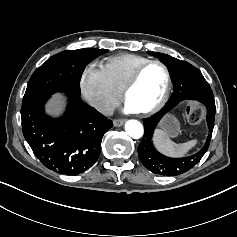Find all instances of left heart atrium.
Listing matches in <instances>:
<instances>
[{
	"mask_svg": "<svg viewBox=\"0 0 237 237\" xmlns=\"http://www.w3.org/2000/svg\"><path fill=\"white\" fill-rule=\"evenodd\" d=\"M124 110L127 113H135L136 112L128 103H126Z\"/></svg>",
	"mask_w": 237,
	"mask_h": 237,
	"instance_id": "left-heart-atrium-1",
	"label": "left heart atrium"
}]
</instances>
